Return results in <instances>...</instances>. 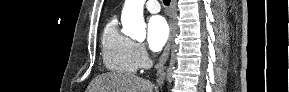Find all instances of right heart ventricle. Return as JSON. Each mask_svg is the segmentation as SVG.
<instances>
[{
  "label": "right heart ventricle",
  "instance_id": "obj_1",
  "mask_svg": "<svg viewBox=\"0 0 289 92\" xmlns=\"http://www.w3.org/2000/svg\"><path fill=\"white\" fill-rule=\"evenodd\" d=\"M134 42L121 33L116 17H112L105 25L101 37L103 62L107 69L132 74L137 70L133 55Z\"/></svg>",
  "mask_w": 289,
  "mask_h": 92
}]
</instances>
